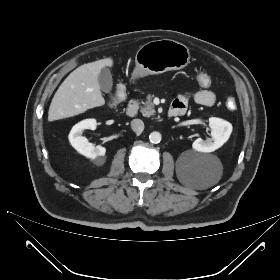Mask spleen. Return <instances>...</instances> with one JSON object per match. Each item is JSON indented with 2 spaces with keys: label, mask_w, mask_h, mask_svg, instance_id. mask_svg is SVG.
Listing matches in <instances>:
<instances>
[{
  "label": "spleen",
  "mask_w": 280,
  "mask_h": 280,
  "mask_svg": "<svg viewBox=\"0 0 280 280\" xmlns=\"http://www.w3.org/2000/svg\"><path fill=\"white\" fill-rule=\"evenodd\" d=\"M217 181H218V180H214V181L209 182V183L207 184V187L212 186V185L215 184Z\"/></svg>",
  "instance_id": "obj_1"
}]
</instances>
